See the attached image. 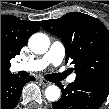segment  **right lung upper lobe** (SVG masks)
<instances>
[{
	"label": "right lung upper lobe",
	"mask_w": 109,
	"mask_h": 109,
	"mask_svg": "<svg viewBox=\"0 0 109 109\" xmlns=\"http://www.w3.org/2000/svg\"><path fill=\"white\" fill-rule=\"evenodd\" d=\"M39 28L36 21H24L12 15L1 16V77L11 74L10 60L20 53Z\"/></svg>",
	"instance_id": "1"
}]
</instances>
